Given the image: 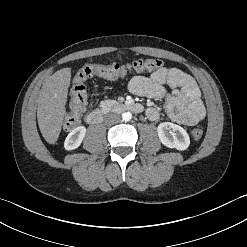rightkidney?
<instances>
[{"label": "right kidney", "instance_id": "right-kidney-1", "mask_svg": "<svg viewBox=\"0 0 247 247\" xmlns=\"http://www.w3.org/2000/svg\"><path fill=\"white\" fill-rule=\"evenodd\" d=\"M86 134V128L79 126L72 130L65 139L64 147L66 150H73L78 148Z\"/></svg>", "mask_w": 247, "mask_h": 247}]
</instances>
